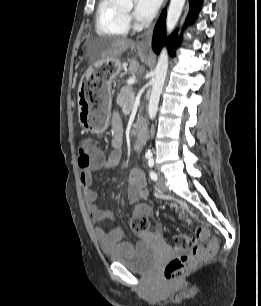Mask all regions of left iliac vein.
Returning <instances> with one entry per match:
<instances>
[{
	"mask_svg": "<svg viewBox=\"0 0 261 306\" xmlns=\"http://www.w3.org/2000/svg\"><path fill=\"white\" fill-rule=\"evenodd\" d=\"M156 185L160 191L162 192L167 191V187L165 185V178L163 175L161 174L158 175V180L156 181Z\"/></svg>",
	"mask_w": 261,
	"mask_h": 306,
	"instance_id": "1",
	"label": "left iliac vein"
}]
</instances>
